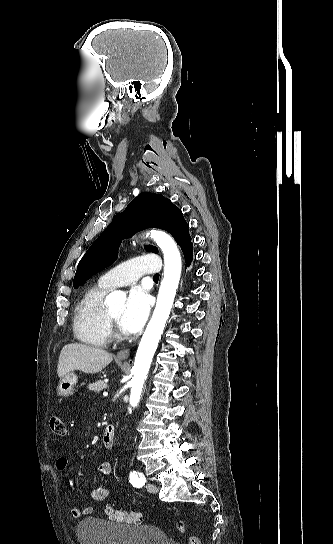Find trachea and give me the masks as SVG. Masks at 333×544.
Listing matches in <instances>:
<instances>
[{
  "label": "trachea",
  "mask_w": 333,
  "mask_h": 544,
  "mask_svg": "<svg viewBox=\"0 0 333 544\" xmlns=\"http://www.w3.org/2000/svg\"><path fill=\"white\" fill-rule=\"evenodd\" d=\"M154 278H157V279H158V278H159V274H155V275H154Z\"/></svg>",
  "instance_id": "trachea-1"
}]
</instances>
